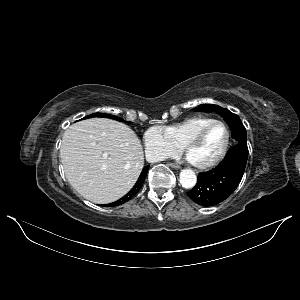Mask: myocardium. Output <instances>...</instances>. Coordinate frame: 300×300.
Segmentation results:
<instances>
[{
  "label": "myocardium",
  "instance_id": "1",
  "mask_svg": "<svg viewBox=\"0 0 300 300\" xmlns=\"http://www.w3.org/2000/svg\"><path fill=\"white\" fill-rule=\"evenodd\" d=\"M214 125H221L224 127L225 132H226V137H225V142L223 145V148L221 152L216 156L213 160L206 162V163H195L192 162L189 159V152L190 150L195 147L197 144L200 143V141L203 139L205 134L208 132V130L213 127ZM229 144H230V129L228 125L220 120H213L209 122L208 124L204 125L202 128H200L197 132H195L184 144L183 146V151L188 158L189 162L191 163L192 166H194L198 170H208L211 169L215 166H217L220 162L223 161V159L226 157L228 150H229Z\"/></svg>",
  "mask_w": 300,
  "mask_h": 300
}]
</instances>
